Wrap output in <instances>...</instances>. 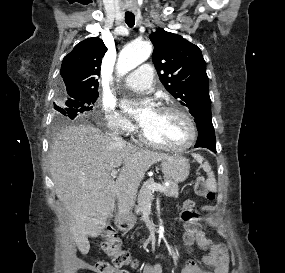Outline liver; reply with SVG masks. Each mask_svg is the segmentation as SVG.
<instances>
[{
  "label": "liver",
  "instance_id": "6515ba94",
  "mask_svg": "<svg viewBox=\"0 0 285 273\" xmlns=\"http://www.w3.org/2000/svg\"><path fill=\"white\" fill-rule=\"evenodd\" d=\"M167 158L113 140L88 125L65 127L54 137L50 173L58 199L74 219L70 231L82 254L90 250L88 236L96 237L105 228L115 200L119 214L129 215L145 172ZM119 167L114 181L110 173Z\"/></svg>",
  "mask_w": 285,
  "mask_h": 273
}]
</instances>
